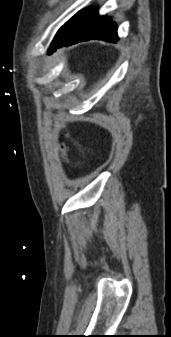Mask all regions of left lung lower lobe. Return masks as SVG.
I'll return each mask as SVG.
<instances>
[{"mask_svg":"<svg viewBox=\"0 0 171 337\" xmlns=\"http://www.w3.org/2000/svg\"><path fill=\"white\" fill-rule=\"evenodd\" d=\"M99 39L104 41L116 42L117 24L111 17L100 16L94 7L83 10V13L72 32L61 40L56 48L70 46L72 44Z\"/></svg>","mask_w":171,"mask_h":337,"instance_id":"1","label":"left lung lower lobe"}]
</instances>
